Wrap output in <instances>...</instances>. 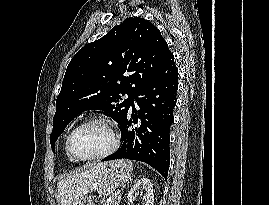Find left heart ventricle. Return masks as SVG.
I'll use <instances>...</instances> for the list:
<instances>
[{"instance_id":"1","label":"left heart ventricle","mask_w":269,"mask_h":205,"mask_svg":"<svg viewBox=\"0 0 269 205\" xmlns=\"http://www.w3.org/2000/svg\"><path fill=\"white\" fill-rule=\"evenodd\" d=\"M112 143L111 135L101 123L82 127L73 138L74 152L81 157H89L107 150Z\"/></svg>"}]
</instances>
